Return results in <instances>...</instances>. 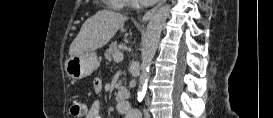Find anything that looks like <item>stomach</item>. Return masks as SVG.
<instances>
[{
  "instance_id": "stomach-1",
  "label": "stomach",
  "mask_w": 273,
  "mask_h": 118,
  "mask_svg": "<svg viewBox=\"0 0 273 118\" xmlns=\"http://www.w3.org/2000/svg\"><path fill=\"white\" fill-rule=\"evenodd\" d=\"M100 65L94 52H85L78 56H70L65 63V71L69 78L80 80L90 76Z\"/></svg>"
}]
</instances>
